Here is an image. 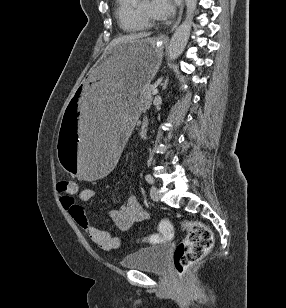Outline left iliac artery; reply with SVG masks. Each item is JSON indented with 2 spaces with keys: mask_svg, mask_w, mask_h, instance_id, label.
Returning a JSON list of instances; mask_svg holds the SVG:
<instances>
[{
  "mask_svg": "<svg viewBox=\"0 0 286 308\" xmlns=\"http://www.w3.org/2000/svg\"><path fill=\"white\" fill-rule=\"evenodd\" d=\"M145 179H146V181H147L149 184H153V183H154V179H153V177H152L150 174H147V175L145 176Z\"/></svg>",
  "mask_w": 286,
  "mask_h": 308,
  "instance_id": "left-iliac-artery-1",
  "label": "left iliac artery"
}]
</instances>
